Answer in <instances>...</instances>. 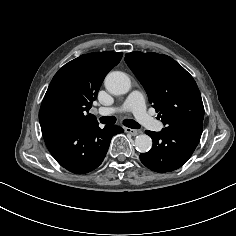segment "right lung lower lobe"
<instances>
[{"instance_id":"1","label":"right lung lower lobe","mask_w":236,"mask_h":236,"mask_svg":"<svg viewBox=\"0 0 236 236\" xmlns=\"http://www.w3.org/2000/svg\"><path fill=\"white\" fill-rule=\"evenodd\" d=\"M46 146L56 161L66 170L85 174L103 161L111 138L123 130L115 125L100 129L98 122L68 125L49 122L41 126Z\"/></svg>"}]
</instances>
